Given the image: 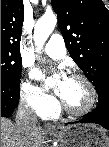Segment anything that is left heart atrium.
<instances>
[{"label":"left heart atrium","instance_id":"39dd6f15","mask_svg":"<svg viewBox=\"0 0 109 147\" xmlns=\"http://www.w3.org/2000/svg\"><path fill=\"white\" fill-rule=\"evenodd\" d=\"M33 76H34L35 78H37V79H42V78H43V74H42V72L39 71V70H34V71H33ZM56 93H57L58 95L61 96V89L58 88V89L56 90Z\"/></svg>","mask_w":109,"mask_h":147}]
</instances>
